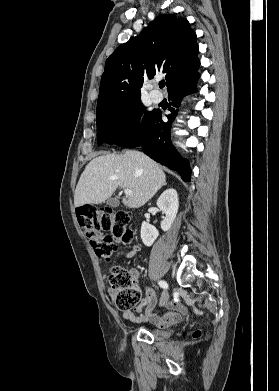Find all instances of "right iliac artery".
Masks as SVG:
<instances>
[{
  "label": "right iliac artery",
  "mask_w": 279,
  "mask_h": 391,
  "mask_svg": "<svg viewBox=\"0 0 279 391\" xmlns=\"http://www.w3.org/2000/svg\"><path fill=\"white\" fill-rule=\"evenodd\" d=\"M159 286L164 288V289H167L168 288V284L165 282V281H159L158 282Z\"/></svg>",
  "instance_id": "1"
}]
</instances>
